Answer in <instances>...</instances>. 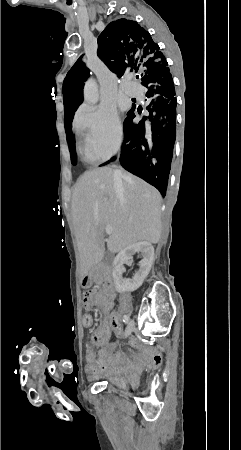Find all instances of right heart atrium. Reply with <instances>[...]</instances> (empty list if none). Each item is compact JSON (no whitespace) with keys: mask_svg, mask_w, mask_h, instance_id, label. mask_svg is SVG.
Segmentation results:
<instances>
[{"mask_svg":"<svg viewBox=\"0 0 241 450\" xmlns=\"http://www.w3.org/2000/svg\"><path fill=\"white\" fill-rule=\"evenodd\" d=\"M88 116L75 118V130H88L85 134L84 155H95L99 160L111 157L119 147L123 127L114 107L110 105L93 106Z\"/></svg>","mask_w":241,"mask_h":450,"instance_id":"1","label":"right heart atrium"}]
</instances>
